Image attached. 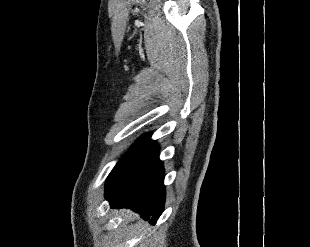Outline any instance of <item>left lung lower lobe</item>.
Listing matches in <instances>:
<instances>
[{"label":"left lung lower lobe","mask_w":310,"mask_h":247,"mask_svg":"<svg viewBox=\"0 0 310 247\" xmlns=\"http://www.w3.org/2000/svg\"><path fill=\"white\" fill-rule=\"evenodd\" d=\"M143 135L116 164L106 181V199L112 208H131L155 224L163 211L164 169L158 145Z\"/></svg>","instance_id":"1"}]
</instances>
